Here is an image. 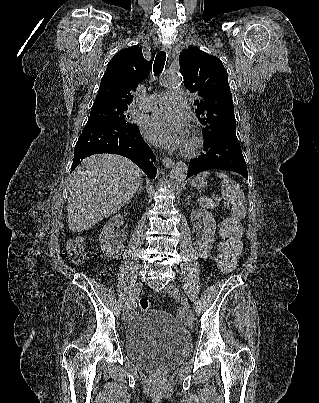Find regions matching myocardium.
Masks as SVG:
<instances>
[{"instance_id": "f54148a6", "label": "myocardium", "mask_w": 319, "mask_h": 403, "mask_svg": "<svg viewBox=\"0 0 319 403\" xmlns=\"http://www.w3.org/2000/svg\"><path fill=\"white\" fill-rule=\"evenodd\" d=\"M202 147V139L197 132L192 131L190 133L188 142L183 150V155L187 157L196 156Z\"/></svg>"}]
</instances>
